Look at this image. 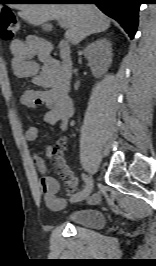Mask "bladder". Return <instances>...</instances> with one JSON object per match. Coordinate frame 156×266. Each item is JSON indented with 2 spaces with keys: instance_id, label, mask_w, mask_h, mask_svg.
Wrapping results in <instances>:
<instances>
[{
  "instance_id": "obj_1",
  "label": "bladder",
  "mask_w": 156,
  "mask_h": 266,
  "mask_svg": "<svg viewBox=\"0 0 156 266\" xmlns=\"http://www.w3.org/2000/svg\"><path fill=\"white\" fill-rule=\"evenodd\" d=\"M65 220L77 226L96 229L104 225L105 215L95 208H78L68 213Z\"/></svg>"
}]
</instances>
